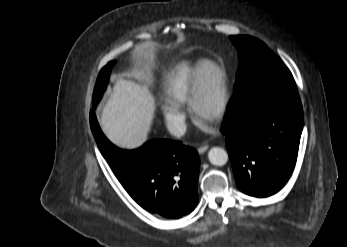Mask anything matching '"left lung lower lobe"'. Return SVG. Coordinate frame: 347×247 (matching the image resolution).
Segmentation results:
<instances>
[{
  "instance_id": "1",
  "label": "left lung lower lobe",
  "mask_w": 347,
  "mask_h": 247,
  "mask_svg": "<svg viewBox=\"0 0 347 247\" xmlns=\"http://www.w3.org/2000/svg\"><path fill=\"white\" fill-rule=\"evenodd\" d=\"M303 109L289 69L255 76L230 100L222 133L239 189L254 197L278 192L297 160Z\"/></svg>"
}]
</instances>
